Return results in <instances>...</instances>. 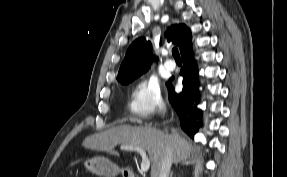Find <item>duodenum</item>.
I'll return each mask as SVG.
<instances>
[{
	"mask_svg": "<svg viewBox=\"0 0 287 177\" xmlns=\"http://www.w3.org/2000/svg\"><path fill=\"white\" fill-rule=\"evenodd\" d=\"M125 177H132V176L130 174H128V175L126 174Z\"/></svg>",
	"mask_w": 287,
	"mask_h": 177,
	"instance_id": "410a0bca",
	"label": "duodenum"
}]
</instances>
